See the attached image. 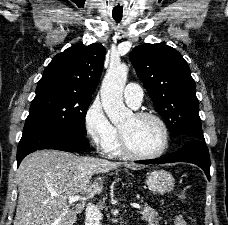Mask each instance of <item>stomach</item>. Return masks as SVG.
Masks as SVG:
<instances>
[{
	"label": "stomach",
	"instance_id": "obj_1",
	"mask_svg": "<svg viewBox=\"0 0 228 225\" xmlns=\"http://www.w3.org/2000/svg\"><path fill=\"white\" fill-rule=\"evenodd\" d=\"M147 189L155 193V195H165L169 191H173L175 187V179L168 171H152L146 177L145 181Z\"/></svg>",
	"mask_w": 228,
	"mask_h": 225
}]
</instances>
